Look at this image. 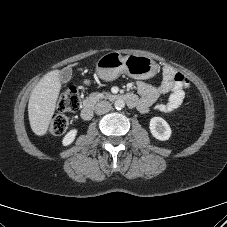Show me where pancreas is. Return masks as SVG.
Returning <instances> with one entry per match:
<instances>
[{"label": "pancreas", "instance_id": "obj_1", "mask_svg": "<svg viewBox=\"0 0 227 227\" xmlns=\"http://www.w3.org/2000/svg\"><path fill=\"white\" fill-rule=\"evenodd\" d=\"M104 97H105L104 93L94 92V93L90 94L89 99L92 101H96V100L104 98Z\"/></svg>", "mask_w": 227, "mask_h": 227}]
</instances>
